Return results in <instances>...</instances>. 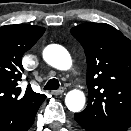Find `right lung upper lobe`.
Listing matches in <instances>:
<instances>
[{"mask_svg": "<svg viewBox=\"0 0 131 131\" xmlns=\"http://www.w3.org/2000/svg\"><path fill=\"white\" fill-rule=\"evenodd\" d=\"M40 26L16 24L0 27V120H11L37 110L46 96L28 85L21 90L22 56L43 35Z\"/></svg>", "mask_w": 131, "mask_h": 131, "instance_id": "right-lung-upper-lobe-1", "label": "right lung upper lobe"}]
</instances>
